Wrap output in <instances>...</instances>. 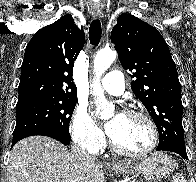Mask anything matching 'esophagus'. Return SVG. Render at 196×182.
Listing matches in <instances>:
<instances>
[{"mask_svg": "<svg viewBox=\"0 0 196 182\" xmlns=\"http://www.w3.org/2000/svg\"><path fill=\"white\" fill-rule=\"evenodd\" d=\"M92 14L94 18H100L102 17V9L100 7H94ZM111 166L116 167L117 165L111 164Z\"/></svg>", "mask_w": 196, "mask_h": 182, "instance_id": "esophagus-1", "label": "esophagus"}]
</instances>
